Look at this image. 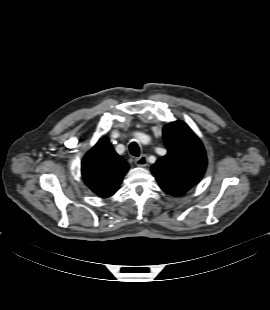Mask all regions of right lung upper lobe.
<instances>
[{"mask_svg": "<svg viewBox=\"0 0 270 310\" xmlns=\"http://www.w3.org/2000/svg\"><path fill=\"white\" fill-rule=\"evenodd\" d=\"M129 166L113 149L108 138L100 139L82 161L86 185L98 196L110 197L118 190Z\"/></svg>", "mask_w": 270, "mask_h": 310, "instance_id": "right-lung-upper-lobe-1", "label": "right lung upper lobe"}]
</instances>
